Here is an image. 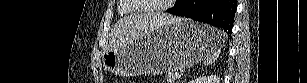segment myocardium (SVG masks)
<instances>
[{"instance_id": "1", "label": "myocardium", "mask_w": 307, "mask_h": 83, "mask_svg": "<svg viewBox=\"0 0 307 83\" xmlns=\"http://www.w3.org/2000/svg\"><path fill=\"white\" fill-rule=\"evenodd\" d=\"M127 2L133 6L137 12H142V13H162L165 12L168 9V4L175 2V0H167V2L163 3L162 5L158 7H153V8H146L141 6V4L137 0H127ZM168 3V4H167Z\"/></svg>"}]
</instances>
